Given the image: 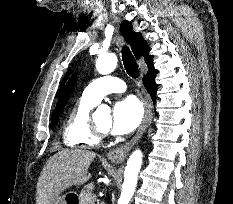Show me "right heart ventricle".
<instances>
[{"label":"right heart ventricle","mask_w":233,"mask_h":204,"mask_svg":"<svg viewBox=\"0 0 233 204\" xmlns=\"http://www.w3.org/2000/svg\"><path fill=\"white\" fill-rule=\"evenodd\" d=\"M83 95L71 108L64 126L65 144L72 148H91L100 142L95 134L90 118L91 110L96 106Z\"/></svg>","instance_id":"obj_1"}]
</instances>
